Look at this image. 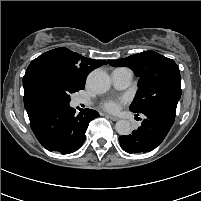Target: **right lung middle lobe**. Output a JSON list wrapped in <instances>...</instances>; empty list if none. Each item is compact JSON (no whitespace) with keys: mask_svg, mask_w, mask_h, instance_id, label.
I'll return each mask as SVG.
<instances>
[{"mask_svg":"<svg viewBox=\"0 0 201 201\" xmlns=\"http://www.w3.org/2000/svg\"><path fill=\"white\" fill-rule=\"evenodd\" d=\"M30 90H37L51 94L66 102H70V95L84 85L70 79L60 68L47 64L37 68L29 77Z\"/></svg>","mask_w":201,"mask_h":201,"instance_id":"right-lung-middle-lobe-1","label":"right lung middle lobe"}]
</instances>
